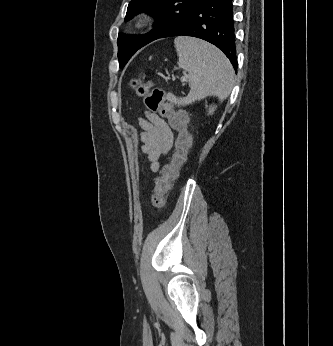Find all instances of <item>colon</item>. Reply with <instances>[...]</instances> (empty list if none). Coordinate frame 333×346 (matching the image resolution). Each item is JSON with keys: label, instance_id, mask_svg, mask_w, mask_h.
I'll return each mask as SVG.
<instances>
[{"label": "colon", "instance_id": "1", "mask_svg": "<svg viewBox=\"0 0 333 346\" xmlns=\"http://www.w3.org/2000/svg\"><path fill=\"white\" fill-rule=\"evenodd\" d=\"M133 86L139 96L144 98L146 108L152 113H158L168 120L172 129L178 135L175 140V152L171 161L164 165L162 173L156 178L154 191L151 195V204L160 209L165 205L166 196L172 184L179 177L181 167L187 161L188 151L192 145V136L187 129V115L183 111L174 110L166 101L165 91L155 87L149 81L134 80Z\"/></svg>", "mask_w": 333, "mask_h": 346}]
</instances>
